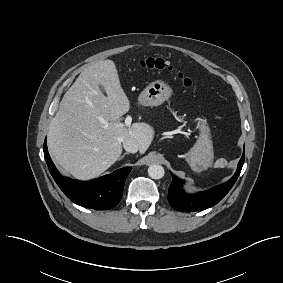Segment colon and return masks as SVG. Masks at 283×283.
<instances>
[{
  "mask_svg": "<svg viewBox=\"0 0 283 283\" xmlns=\"http://www.w3.org/2000/svg\"><path fill=\"white\" fill-rule=\"evenodd\" d=\"M140 66L144 70H155L163 72L173 71L172 66L168 62L160 58H146L140 62ZM179 78L181 79L185 87L192 86L191 79L184 77L183 75H179Z\"/></svg>",
  "mask_w": 283,
  "mask_h": 283,
  "instance_id": "5ec220e1",
  "label": "colon"
}]
</instances>
